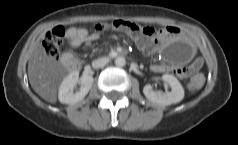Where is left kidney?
I'll return each instance as SVG.
<instances>
[{"label": "left kidney", "instance_id": "1", "mask_svg": "<svg viewBox=\"0 0 238 145\" xmlns=\"http://www.w3.org/2000/svg\"><path fill=\"white\" fill-rule=\"evenodd\" d=\"M162 79L170 85L171 91L166 93L155 92L152 86L148 84L143 88L146 98L160 105L180 102L184 98V89L178 79L170 74L162 75Z\"/></svg>", "mask_w": 238, "mask_h": 145}]
</instances>
